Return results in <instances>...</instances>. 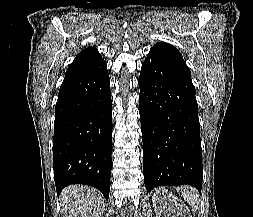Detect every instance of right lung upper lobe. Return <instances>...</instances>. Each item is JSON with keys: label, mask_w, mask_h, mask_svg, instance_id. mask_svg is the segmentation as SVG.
Segmentation results:
<instances>
[{"label": "right lung upper lobe", "mask_w": 253, "mask_h": 217, "mask_svg": "<svg viewBox=\"0 0 253 217\" xmlns=\"http://www.w3.org/2000/svg\"><path fill=\"white\" fill-rule=\"evenodd\" d=\"M103 61L101 54L95 47H89L81 51L67 69L66 76L86 70Z\"/></svg>", "instance_id": "right-lung-upper-lobe-1"}]
</instances>
